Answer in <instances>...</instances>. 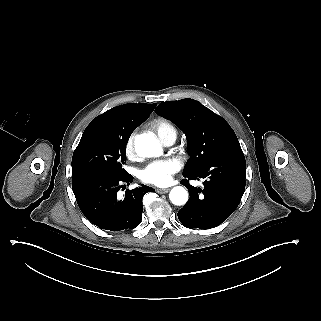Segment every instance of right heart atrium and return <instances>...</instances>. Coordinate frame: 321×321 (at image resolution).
Masks as SVG:
<instances>
[{
  "mask_svg": "<svg viewBox=\"0 0 321 321\" xmlns=\"http://www.w3.org/2000/svg\"><path fill=\"white\" fill-rule=\"evenodd\" d=\"M136 131L129 133L125 140L124 151L128 158L135 159L140 156V152L137 150L135 145Z\"/></svg>",
  "mask_w": 321,
  "mask_h": 321,
  "instance_id": "right-heart-atrium-1",
  "label": "right heart atrium"
}]
</instances>
